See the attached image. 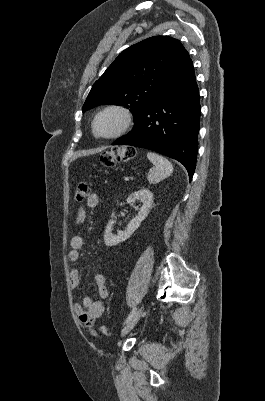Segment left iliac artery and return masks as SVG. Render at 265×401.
Segmentation results:
<instances>
[{
    "mask_svg": "<svg viewBox=\"0 0 265 401\" xmlns=\"http://www.w3.org/2000/svg\"><path fill=\"white\" fill-rule=\"evenodd\" d=\"M136 313V307H134L132 309V311L130 312V314L128 315V317L126 318V320L124 321V324L128 323L130 321V319L134 316V314Z\"/></svg>",
    "mask_w": 265,
    "mask_h": 401,
    "instance_id": "obj_1",
    "label": "left iliac artery"
}]
</instances>
